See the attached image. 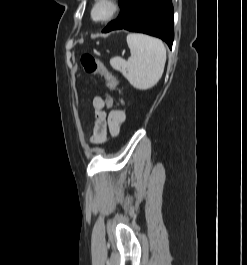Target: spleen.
<instances>
[{"mask_svg": "<svg viewBox=\"0 0 247 265\" xmlns=\"http://www.w3.org/2000/svg\"><path fill=\"white\" fill-rule=\"evenodd\" d=\"M131 56L127 61L121 57L110 60L111 66L120 71L136 89L147 90L155 86L162 77L166 49L161 40L140 34L127 35Z\"/></svg>", "mask_w": 247, "mask_h": 265, "instance_id": "obj_1", "label": "spleen"}]
</instances>
